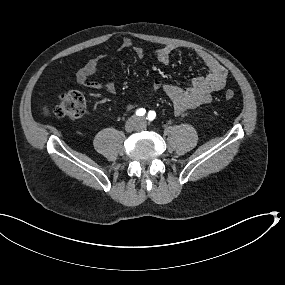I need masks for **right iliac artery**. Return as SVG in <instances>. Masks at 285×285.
I'll return each mask as SVG.
<instances>
[{"label":"right iliac artery","mask_w":285,"mask_h":285,"mask_svg":"<svg viewBox=\"0 0 285 285\" xmlns=\"http://www.w3.org/2000/svg\"><path fill=\"white\" fill-rule=\"evenodd\" d=\"M146 113V110L144 108H140L136 111L137 116H143Z\"/></svg>","instance_id":"1"}]
</instances>
